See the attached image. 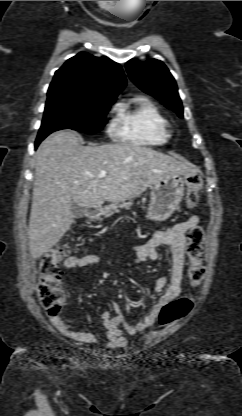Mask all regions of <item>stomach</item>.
Returning <instances> with one entry per match:
<instances>
[{
    "mask_svg": "<svg viewBox=\"0 0 242 416\" xmlns=\"http://www.w3.org/2000/svg\"><path fill=\"white\" fill-rule=\"evenodd\" d=\"M186 179L185 175L169 174L151 185L148 219L164 221L172 215L184 196ZM101 214L100 210L94 217H99Z\"/></svg>",
    "mask_w": 242,
    "mask_h": 416,
    "instance_id": "0dacf381",
    "label": "stomach"
}]
</instances>
